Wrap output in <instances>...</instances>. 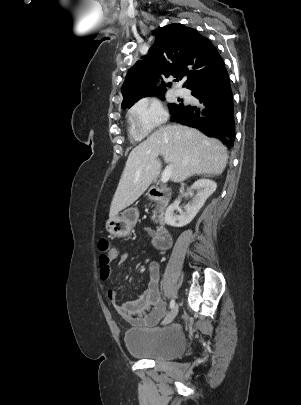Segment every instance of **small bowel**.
I'll return each mask as SVG.
<instances>
[{
  "mask_svg": "<svg viewBox=\"0 0 301 405\" xmlns=\"http://www.w3.org/2000/svg\"><path fill=\"white\" fill-rule=\"evenodd\" d=\"M149 235L154 238L156 232L147 229ZM168 248V247H167ZM167 248H158L164 253ZM126 260L125 254L116 248H111L107 257H100L99 275L102 280H107L111 274V263L117 261L123 264ZM149 281L144 293L136 301H118L116 292L108 289L106 294L113 304L117 313L127 322L134 326L155 325L165 314L166 304L162 299L159 289V265L151 262L148 266Z\"/></svg>",
  "mask_w": 301,
  "mask_h": 405,
  "instance_id": "obj_1",
  "label": "small bowel"
}]
</instances>
